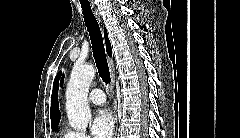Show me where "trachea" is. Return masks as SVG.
Returning a JSON list of instances; mask_svg holds the SVG:
<instances>
[{"label": "trachea", "mask_w": 240, "mask_h": 138, "mask_svg": "<svg viewBox=\"0 0 240 138\" xmlns=\"http://www.w3.org/2000/svg\"><path fill=\"white\" fill-rule=\"evenodd\" d=\"M82 10L84 15V21L89 32L93 56L95 59L99 75L105 84H109L111 81L110 72L105 55L103 38L98 22L94 14L92 13L91 7L89 5L82 4Z\"/></svg>", "instance_id": "trachea-1"}]
</instances>
